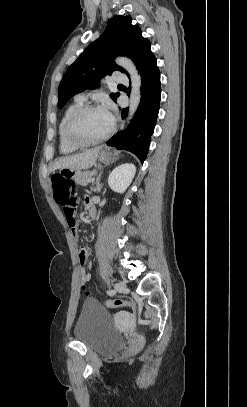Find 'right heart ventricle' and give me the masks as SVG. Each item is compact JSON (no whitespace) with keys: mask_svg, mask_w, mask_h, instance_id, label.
Instances as JSON below:
<instances>
[{"mask_svg":"<svg viewBox=\"0 0 247 407\" xmlns=\"http://www.w3.org/2000/svg\"><path fill=\"white\" fill-rule=\"evenodd\" d=\"M82 104H83L82 100L75 99L69 106H67L60 119L58 125V141H59V151L62 154H72L80 148L69 143V141L66 138L65 128L69 116L76 108H78Z\"/></svg>","mask_w":247,"mask_h":407,"instance_id":"obj_1","label":"right heart ventricle"}]
</instances>
